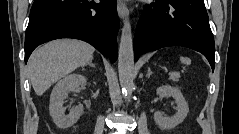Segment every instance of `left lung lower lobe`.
Returning a JSON list of instances; mask_svg holds the SVG:
<instances>
[{"instance_id": "left-lung-lower-lobe-1", "label": "left lung lower lobe", "mask_w": 239, "mask_h": 134, "mask_svg": "<svg viewBox=\"0 0 239 134\" xmlns=\"http://www.w3.org/2000/svg\"><path fill=\"white\" fill-rule=\"evenodd\" d=\"M135 61L167 46L201 52L215 67V46L204 0H156L145 5L134 36Z\"/></svg>"}]
</instances>
